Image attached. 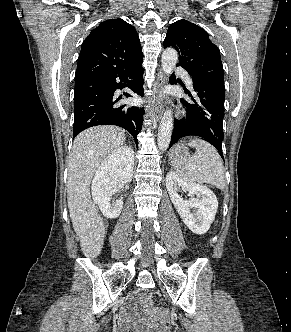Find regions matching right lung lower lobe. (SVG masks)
Segmentation results:
<instances>
[{
  "label": "right lung lower lobe",
  "mask_w": 291,
  "mask_h": 332,
  "mask_svg": "<svg viewBox=\"0 0 291 332\" xmlns=\"http://www.w3.org/2000/svg\"><path fill=\"white\" fill-rule=\"evenodd\" d=\"M142 61L117 73H102L75 81L73 136L97 125H116L126 129L135 139L142 129L144 109L128 104H116L115 91L129 87L143 96ZM126 97L130 94L124 93Z\"/></svg>",
  "instance_id": "1"
}]
</instances>
